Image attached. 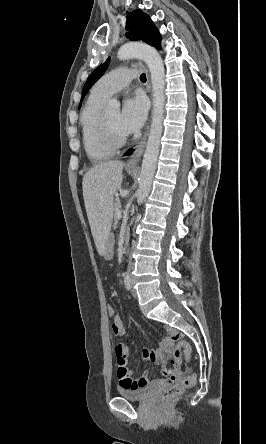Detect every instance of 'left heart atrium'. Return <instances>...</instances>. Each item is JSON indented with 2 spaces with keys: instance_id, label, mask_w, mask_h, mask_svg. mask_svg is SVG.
Returning a JSON list of instances; mask_svg holds the SVG:
<instances>
[{
  "instance_id": "left-heart-atrium-1",
  "label": "left heart atrium",
  "mask_w": 266,
  "mask_h": 444,
  "mask_svg": "<svg viewBox=\"0 0 266 444\" xmlns=\"http://www.w3.org/2000/svg\"><path fill=\"white\" fill-rule=\"evenodd\" d=\"M147 102L141 95L127 98L119 117V125L128 135L138 131L145 122L147 116Z\"/></svg>"
}]
</instances>
